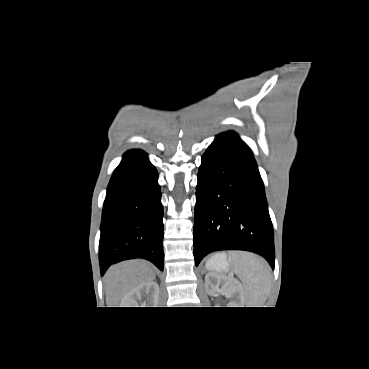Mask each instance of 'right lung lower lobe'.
Segmentation results:
<instances>
[{
	"label": "right lung lower lobe",
	"instance_id": "98d812e1",
	"mask_svg": "<svg viewBox=\"0 0 369 369\" xmlns=\"http://www.w3.org/2000/svg\"><path fill=\"white\" fill-rule=\"evenodd\" d=\"M158 173L141 150H130L114 171L104 202L101 275L114 263L144 258L164 268L163 206Z\"/></svg>",
	"mask_w": 369,
	"mask_h": 369
}]
</instances>
